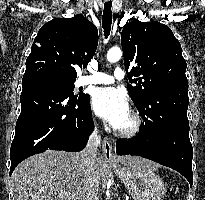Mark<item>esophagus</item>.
<instances>
[{
  "label": "esophagus",
  "mask_w": 205,
  "mask_h": 200,
  "mask_svg": "<svg viewBox=\"0 0 205 200\" xmlns=\"http://www.w3.org/2000/svg\"><path fill=\"white\" fill-rule=\"evenodd\" d=\"M102 150L106 160L112 162L116 160V157L113 154L112 144L110 140L106 137L103 139Z\"/></svg>",
  "instance_id": "1"
}]
</instances>
